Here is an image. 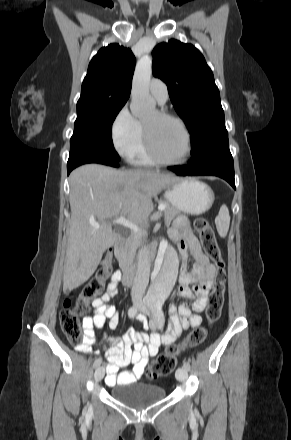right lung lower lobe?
I'll use <instances>...</instances> for the list:
<instances>
[{"label": "right lung lower lobe", "instance_id": "obj_1", "mask_svg": "<svg viewBox=\"0 0 291 440\" xmlns=\"http://www.w3.org/2000/svg\"><path fill=\"white\" fill-rule=\"evenodd\" d=\"M86 163H99L108 166L119 167V163L117 161L113 160L112 158L106 155L92 153V152L78 151L70 154L69 156L67 163L68 175L74 168Z\"/></svg>", "mask_w": 291, "mask_h": 440}]
</instances>
